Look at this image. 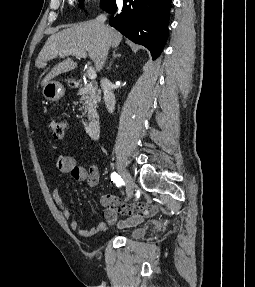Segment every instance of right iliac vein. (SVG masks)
I'll use <instances>...</instances> for the list:
<instances>
[{"instance_id":"obj_1","label":"right iliac vein","mask_w":255,"mask_h":287,"mask_svg":"<svg viewBox=\"0 0 255 287\" xmlns=\"http://www.w3.org/2000/svg\"><path fill=\"white\" fill-rule=\"evenodd\" d=\"M118 169L122 175V178L124 180L125 186H126V193L127 198H131L134 193L135 183L131 177V175L121 166L118 165Z\"/></svg>"}]
</instances>
